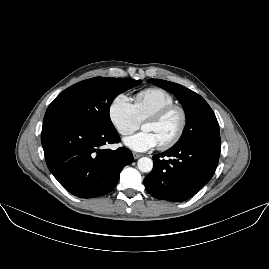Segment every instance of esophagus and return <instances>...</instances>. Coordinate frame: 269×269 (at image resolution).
<instances>
[{
	"mask_svg": "<svg viewBox=\"0 0 269 269\" xmlns=\"http://www.w3.org/2000/svg\"><path fill=\"white\" fill-rule=\"evenodd\" d=\"M142 156V154H138V153H133V157H134V159H138V158H140Z\"/></svg>",
	"mask_w": 269,
	"mask_h": 269,
	"instance_id": "esophagus-1",
	"label": "esophagus"
}]
</instances>
